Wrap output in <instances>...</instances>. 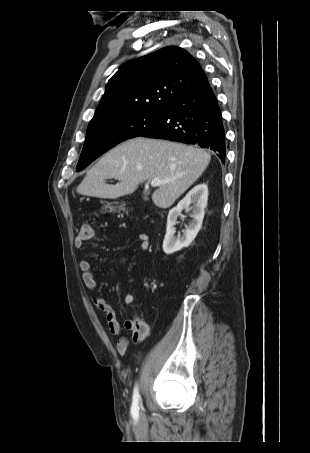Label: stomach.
I'll list each match as a JSON object with an SVG mask.
<instances>
[{
    "mask_svg": "<svg viewBox=\"0 0 310 453\" xmlns=\"http://www.w3.org/2000/svg\"><path fill=\"white\" fill-rule=\"evenodd\" d=\"M116 209L111 206L110 204H107V205H104L101 209V212L102 213H112L114 212Z\"/></svg>",
    "mask_w": 310,
    "mask_h": 453,
    "instance_id": "obj_1",
    "label": "stomach"
}]
</instances>
